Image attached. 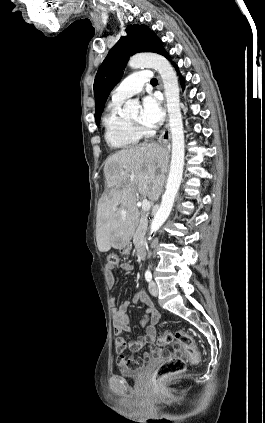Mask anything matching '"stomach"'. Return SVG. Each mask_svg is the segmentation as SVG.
<instances>
[{"label": "stomach", "mask_w": 265, "mask_h": 423, "mask_svg": "<svg viewBox=\"0 0 265 423\" xmlns=\"http://www.w3.org/2000/svg\"><path fill=\"white\" fill-rule=\"evenodd\" d=\"M129 242L127 240H124L120 242L119 249H121L122 252L126 253L128 252Z\"/></svg>", "instance_id": "1"}]
</instances>
